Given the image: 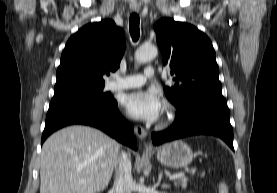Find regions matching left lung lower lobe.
Returning <instances> with one entry per match:
<instances>
[{"instance_id":"1","label":"left lung lower lobe","mask_w":277,"mask_h":193,"mask_svg":"<svg viewBox=\"0 0 277 193\" xmlns=\"http://www.w3.org/2000/svg\"><path fill=\"white\" fill-rule=\"evenodd\" d=\"M201 134L220 137L234 150L230 111L221 92L202 94L192 99L178 112L171 128L152 134V142L159 145Z\"/></svg>"}]
</instances>
